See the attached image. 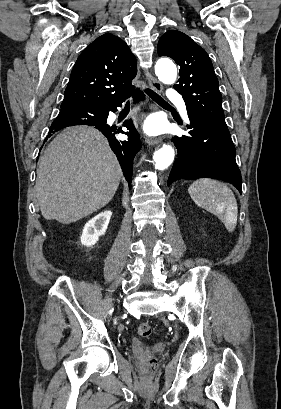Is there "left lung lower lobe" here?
<instances>
[{
    "mask_svg": "<svg viewBox=\"0 0 281 409\" xmlns=\"http://www.w3.org/2000/svg\"><path fill=\"white\" fill-rule=\"evenodd\" d=\"M189 135L175 136L178 149L168 185L178 179L213 178L232 183L242 193L241 172L235 160V147L227 125L189 113Z\"/></svg>",
    "mask_w": 281,
    "mask_h": 409,
    "instance_id": "0a47b994",
    "label": "left lung lower lobe"
}]
</instances>
